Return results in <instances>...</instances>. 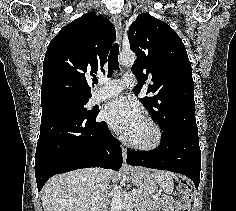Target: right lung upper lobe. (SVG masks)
<instances>
[{
    "mask_svg": "<svg viewBox=\"0 0 236 211\" xmlns=\"http://www.w3.org/2000/svg\"><path fill=\"white\" fill-rule=\"evenodd\" d=\"M115 40V28L94 12L64 26L48 45L43 63L41 104L59 99H89Z\"/></svg>",
    "mask_w": 236,
    "mask_h": 211,
    "instance_id": "1",
    "label": "right lung upper lobe"
}]
</instances>
